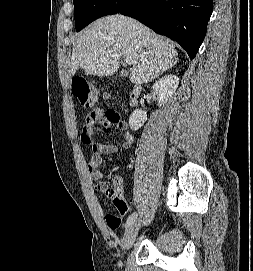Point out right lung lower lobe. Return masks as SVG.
Masks as SVG:
<instances>
[{
    "instance_id": "right-lung-lower-lobe-1",
    "label": "right lung lower lobe",
    "mask_w": 253,
    "mask_h": 271,
    "mask_svg": "<svg viewBox=\"0 0 253 271\" xmlns=\"http://www.w3.org/2000/svg\"><path fill=\"white\" fill-rule=\"evenodd\" d=\"M213 0H126L118 13L177 41L190 59L206 35Z\"/></svg>"
}]
</instances>
